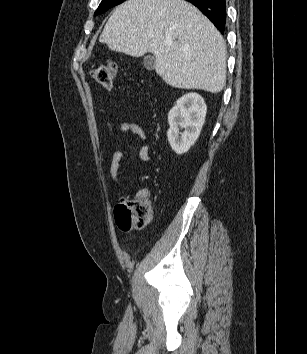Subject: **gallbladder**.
I'll list each match as a JSON object with an SVG mask.
<instances>
[{"label": "gallbladder", "mask_w": 307, "mask_h": 354, "mask_svg": "<svg viewBox=\"0 0 307 354\" xmlns=\"http://www.w3.org/2000/svg\"><path fill=\"white\" fill-rule=\"evenodd\" d=\"M143 64L147 70H153L155 68V57L152 55L145 56Z\"/></svg>", "instance_id": "1"}]
</instances>
